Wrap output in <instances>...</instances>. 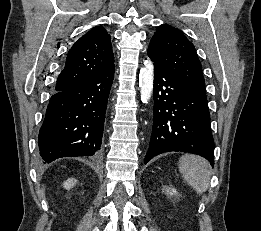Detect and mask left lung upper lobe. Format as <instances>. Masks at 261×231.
<instances>
[{
	"instance_id": "1",
	"label": "left lung upper lobe",
	"mask_w": 261,
	"mask_h": 231,
	"mask_svg": "<svg viewBox=\"0 0 261 231\" xmlns=\"http://www.w3.org/2000/svg\"><path fill=\"white\" fill-rule=\"evenodd\" d=\"M154 65L178 80L190 92L206 97L201 63L193 44L178 29L160 25L147 51Z\"/></svg>"
}]
</instances>
